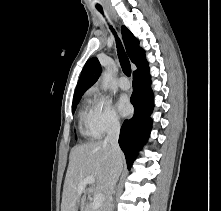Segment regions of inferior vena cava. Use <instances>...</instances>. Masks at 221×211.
<instances>
[{
    "instance_id": "obj_1",
    "label": "inferior vena cava",
    "mask_w": 221,
    "mask_h": 211,
    "mask_svg": "<svg viewBox=\"0 0 221 211\" xmlns=\"http://www.w3.org/2000/svg\"><path fill=\"white\" fill-rule=\"evenodd\" d=\"M119 133H120V124L117 120H113L109 125L107 136L105 138V143L109 144L111 147L115 164L108 183V192L106 196V202L104 205V211H113L112 194L114 193V187L122 171V162H121L122 152L118 144Z\"/></svg>"
}]
</instances>
